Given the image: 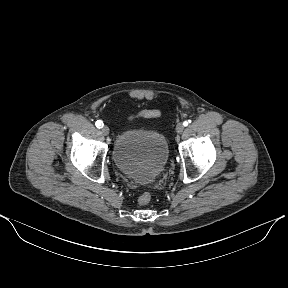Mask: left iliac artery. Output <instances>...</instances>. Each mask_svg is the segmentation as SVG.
<instances>
[{
	"label": "left iliac artery",
	"mask_w": 288,
	"mask_h": 288,
	"mask_svg": "<svg viewBox=\"0 0 288 288\" xmlns=\"http://www.w3.org/2000/svg\"><path fill=\"white\" fill-rule=\"evenodd\" d=\"M188 124H189L188 121H184V122H183V126H185V127L188 126Z\"/></svg>",
	"instance_id": "left-iliac-artery-1"
}]
</instances>
